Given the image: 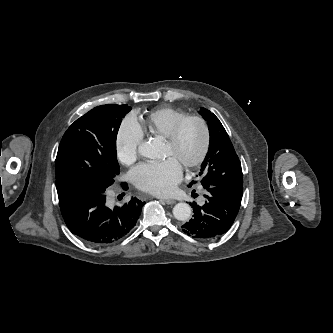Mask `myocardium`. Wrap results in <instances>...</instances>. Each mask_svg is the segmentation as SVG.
I'll return each instance as SVG.
<instances>
[{"label":"myocardium","mask_w":333,"mask_h":333,"mask_svg":"<svg viewBox=\"0 0 333 333\" xmlns=\"http://www.w3.org/2000/svg\"><path fill=\"white\" fill-rule=\"evenodd\" d=\"M191 122L197 123L202 130V146L197 157L183 165L187 170L199 167L208 155L211 144V131L207 121L200 116L188 115L179 120L172 128L170 134L166 137L167 144L171 147H175L180 140L184 127Z\"/></svg>","instance_id":"obj_1"}]
</instances>
